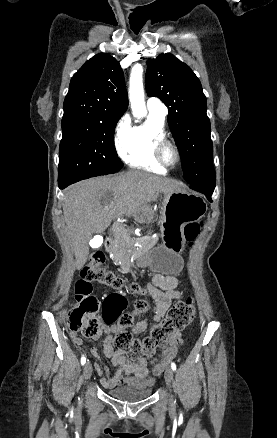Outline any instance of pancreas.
Segmentation results:
<instances>
[{
    "label": "pancreas",
    "mask_w": 277,
    "mask_h": 438,
    "mask_svg": "<svg viewBox=\"0 0 277 438\" xmlns=\"http://www.w3.org/2000/svg\"><path fill=\"white\" fill-rule=\"evenodd\" d=\"M107 236L104 241L108 248L106 253H114L112 260H117V267H130V253H149L159 242L154 231H109Z\"/></svg>",
    "instance_id": "cf45deb5"
}]
</instances>
